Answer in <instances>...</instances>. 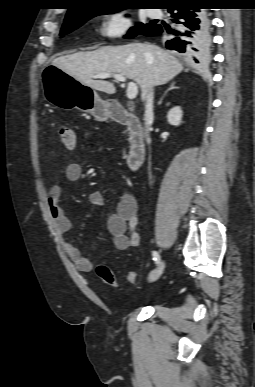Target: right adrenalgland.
I'll return each mask as SVG.
<instances>
[{
    "label": "right adrenal gland",
    "mask_w": 255,
    "mask_h": 387,
    "mask_svg": "<svg viewBox=\"0 0 255 387\" xmlns=\"http://www.w3.org/2000/svg\"><path fill=\"white\" fill-rule=\"evenodd\" d=\"M177 88H178V87L175 86V82L172 81V82L170 83L168 89L165 91V93L163 94V96H162V97L160 98V100L158 101V105H161V104H162V101H163L165 95H166L169 91L174 90V89H177Z\"/></svg>",
    "instance_id": "1"
}]
</instances>
